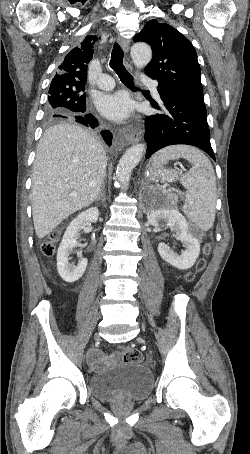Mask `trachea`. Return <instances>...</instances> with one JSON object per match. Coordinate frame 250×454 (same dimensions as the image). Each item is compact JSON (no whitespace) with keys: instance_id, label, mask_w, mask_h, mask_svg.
Returning <instances> with one entry per match:
<instances>
[{"instance_id":"1","label":"trachea","mask_w":250,"mask_h":454,"mask_svg":"<svg viewBox=\"0 0 250 454\" xmlns=\"http://www.w3.org/2000/svg\"><path fill=\"white\" fill-rule=\"evenodd\" d=\"M110 67L117 73L122 83L127 86L134 85L133 77L123 65V50L117 42L112 49Z\"/></svg>"}]
</instances>
